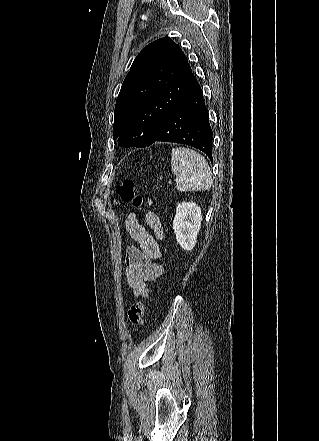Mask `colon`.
Wrapping results in <instances>:
<instances>
[{
    "instance_id": "obj_1",
    "label": "colon",
    "mask_w": 319,
    "mask_h": 441,
    "mask_svg": "<svg viewBox=\"0 0 319 441\" xmlns=\"http://www.w3.org/2000/svg\"><path fill=\"white\" fill-rule=\"evenodd\" d=\"M116 195L119 202L132 203L136 208H143V197L137 193L134 182L131 180L123 181L116 188ZM144 313L145 304L143 302L134 303L128 310V317L131 324L135 327L140 326L143 323Z\"/></svg>"
}]
</instances>
